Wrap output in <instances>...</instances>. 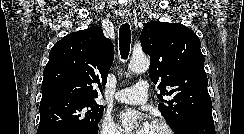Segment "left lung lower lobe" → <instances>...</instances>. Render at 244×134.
I'll use <instances>...</instances> for the list:
<instances>
[{
	"label": "left lung lower lobe",
	"mask_w": 244,
	"mask_h": 134,
	"mask_svg": "<svg viewBox=\"0 0 244 134\" xmlns=\"http://www.w3.org/2000/svg\"><path fill=\"white\" fill-rule=\"evenodd\" d=\"M175 134H215L214 122L192 120L184 124Z\"/></svg>",
	"instance_id": "left-lung-lower-lobe-1"
}]
</instances>
